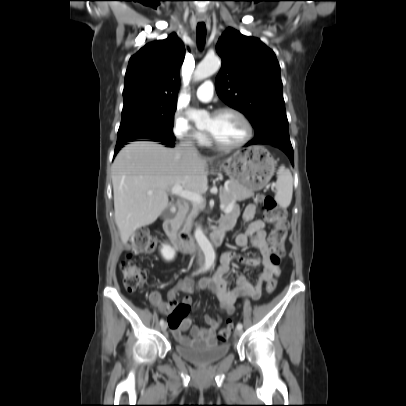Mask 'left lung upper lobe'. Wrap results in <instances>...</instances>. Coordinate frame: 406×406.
Masks as SVG:
<instances>
[{
	"label": "left lung upper lobe",
	"instance_id": "left-lung-upper-lobe-1",
	"mask_svg": "<svg viewBox=\"0 0 406 406\" xmlns=\"http://www.w3.org/2000/svg\"><path fill=\"white\" fill-rule=\"evenodd\" d=\"M222 58L215 86L218 96L242 112L255 129V138L289 140L280 66L274 52L258 38L228 28L218 40Z\"/></svg>",
	"mask_w": 406,
	"mask_h": 406
}]
</instances>
